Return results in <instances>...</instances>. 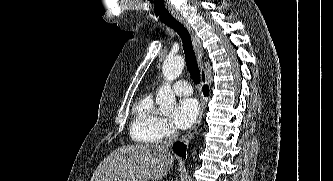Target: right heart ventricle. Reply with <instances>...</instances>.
Instances as JSON below:
<instances>
[{"instance_id":"obj_1","label":"right heart ventricle","mask_w":333,"mask_h":181,"mask_svg":"<svg viewBox=\"0 0 333 181\" xmlns=\"http://www.w3.org/2000/svg\"><path fill=\"white\" fill-rule=\"evenodd\" d=\"M132 116L130 135L134 141L148 144L160 141L157 134L160 117L155 110L152 95H144L135 103Z\"/></svg>"}]
</instances>
